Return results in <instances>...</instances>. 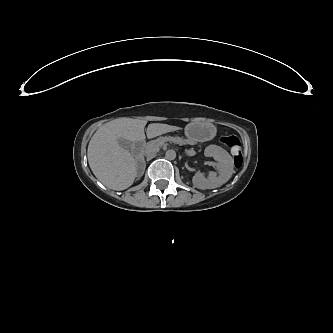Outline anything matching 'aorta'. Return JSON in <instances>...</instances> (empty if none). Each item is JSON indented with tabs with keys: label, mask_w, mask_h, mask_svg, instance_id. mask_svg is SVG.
<instances>
[{
	"label": "aorta",
	"mask_w": 333,
	"mask_h": 333,
	"mask_svg": "<svg viewBox=\"0 0 333 333\" xmlns=\"http://www.w3.org/2000/svg\"><path fill=\"white\" fill-rule=\"evenodd\" d=\"M165 158L167 160H174L176 158V152L172 149L167 150L165 153Z\"/></svg>",
	"instance_id": "762f6f07"
}]
</instances>
